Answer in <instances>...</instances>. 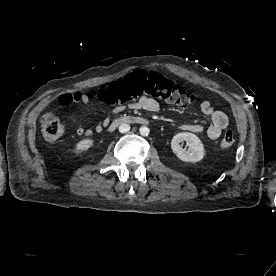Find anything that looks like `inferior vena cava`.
Listing matches in <instances>:
<instances>
[{"label":"inferior vena cava","mask_w":276,"mask_h":276,"mask_svg":"<svg viewBox=\"0 0 276 276\" xmlns=\"http://www.w3.org/2000/svg\"><path fill=\"white\" fill-rule=\"evenodd\" d=\"M130 130V126L128 125V124H121L120 126H119V131L121 132V133H126V132H128Z\"/></svg>","instance_id":"obj_1"}]
</instances>
